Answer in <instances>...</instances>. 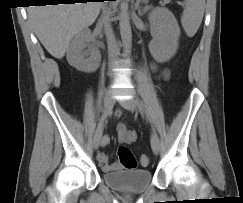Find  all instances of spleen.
<instances>
[{"label":"spleen","instance_id":"spleen-1","mask_svg":"<svg viewBox=\"0 0 243 203\" xmlns=\"http://www.w3.org/2000/svg\"><path fill=\"white\" fill-rule=\"evenodd\" d=\"M205 10V0H185V8L181 17L182 27L189 37L198 31Z\"/></svg>","mask_w":243,"mask_h":203}]
</instances>
